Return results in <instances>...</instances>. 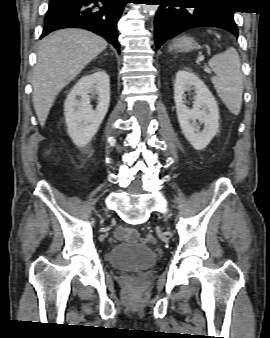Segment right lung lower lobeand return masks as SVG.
Instances as JSON below:
<instances>
[{
    "mask_svg": "<svg viewBox=\"0 0 270 338\" xmlns=\"http://www.w3.org/2000/svg\"><path fill=\"white\" fill-rule=\"evenodd\" d=\"M128 0H49L41 38L69 27L83 28L103 36L118 52L117 22Z\"/></svg>",
    "mask_w": 270,
    "mask_h": 338,
    "instance_id": "98d812e1",
    "label": "right lung lower lobe"
}]
</instances>
